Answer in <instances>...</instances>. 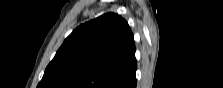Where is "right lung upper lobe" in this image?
Wrapping results in <instances>:
<instances>
[{
	"mask_svg": "<svg viewBox=\"0 0 223 88\" xmlns=\"http://www.w3.org/2000/svg\"><path fill=\"white\" fill-rule=\"evenodd\" d=\"M136 69L128 23L107 13L81 24L66 38L37 88H132Z\"/></svg>",
	"mask_w": 223,
	"mask_h": 88,
	"instance_id": "1",
	"label": "right lung upper lobe"
}]
</instances>
